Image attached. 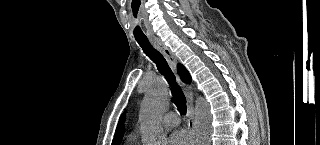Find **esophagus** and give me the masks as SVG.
Instances as JSON below:
<instances>
[{
	"instance_id": "obj_1",
	"label": "esophagus",
	"mask_w": 320,
	"mask_h": 145,
	"mask_svg": "<svg viewBox=\"0 0 320 145\" xmlns=\"http://www.w3.org/2000/svg\"><path fill=\"white\" fill-rule=\"evenodd\" d=\"M151 43L164 55L168 63L173 69H176L177 59L172 51L157 38H151ZM187 97V129L191 137L192 145H195V120H194V104L192 93L186 89Z\"/></svg>"
}]
</instances>
